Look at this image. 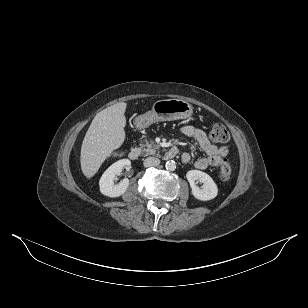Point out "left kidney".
Listing matches in <instances>:
<instances>
[{"label": "left kidney", "instance_id": "5707ae66", "mask_svg": "<svg viewBox=\"0 0 308 308\" xmlns=\"http://www.w3.org/2000/svg\"><path fill=\"white\" fill-rule=\"evenodd\" d=\"M187 180L191 186L193 196L201 201L214 199L218 194V187L213 179L205 172L199 170H190L186 174ZM203 183L199 188L195 181Z\"/></svg>", "mask_w": 308, "mask_h": 308}]
</instances>
